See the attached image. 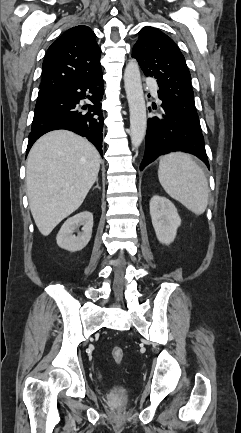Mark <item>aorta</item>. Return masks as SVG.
Instances as JSON below:
<instances>
[{
  "mask_svg": "<svg viewBox=\"0 0 241 433\" xmlns=\"http://www.w3.org/2000/svg\"><path fill=\"white\" fill-rule=\"evenodd\" d=\"M124 84L130 110V137L134 148L145 137L147 117L139 65L131 60L125 67Z\"/></svg>",
  "mask_w": 241,
  "mask_h": 433,
  "instance_id": "1",
  "label": "aorta"
}]
</instances>
